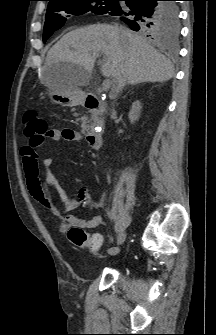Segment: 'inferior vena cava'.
<instances>
[{
	"instance_id": "1",
	"label": "inferior vena cava",
	"mask_w": 216,
	"mask_h": 335,
	"mask_svg": "<svg viewBox=\"0 0 216 335\" xmlns=\"http://www.w3.org/2000/svg\"><path fill=\"white\" fill-rule=\"evenodd\" d=\"M122 31V30H121ZM124 83L121 85V84H119V91H122V88L124 87Z\"/></svg>"
}]
</instances>
